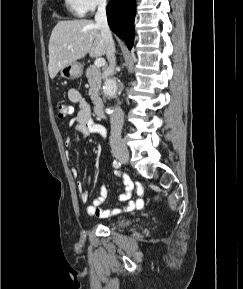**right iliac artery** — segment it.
Returning a JSON list of instances; mask_svg holds the SVG:
<instances>
[{
    "instance_id": "1",
    "label": "right iliac artery",
    "mask_w": 243,
    "mask_h": 289,
    "mask_svg": "<svg viewBox=\"0 0 243 289\" xmlns=\"http://www.w3.org/2000/svg\"><path fill=\"white\" fill-rule=\"evenodd\" d=\"M120 166H121V163L120 162H118V161H114L113 162V167H115V168H120Z\"/></svg>"
}]
</instances>
